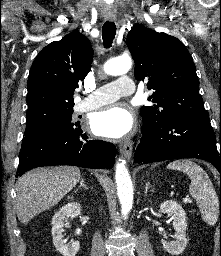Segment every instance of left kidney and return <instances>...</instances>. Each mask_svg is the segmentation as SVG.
Here are the masks:
<instances>
[{
  "label": "left kidney",
  "instance_id": "1",
  "mask_svg": "<svg viewBox=\"0 0 221 256\" xmlns=\"http://www.w3.org/2000/svg\"><path fill=\"white\" fill-rule=\"evenodd\" d=\"M159 212L171 214L173 219V226L175 228V241L168 242L162 240L163 248L171 255H179L187 246L186 213L182 206L172 200L161 203Z\"/></svg>",
  "mask_w": 221,
  "mask_h": 256
}]
</instances>
